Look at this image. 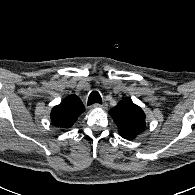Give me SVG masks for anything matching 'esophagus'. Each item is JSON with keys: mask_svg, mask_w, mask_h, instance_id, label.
<instances>
[{"mask_svg": "<svg viewBox=\"0 0 195 195\" xmlns=\"http://www.w3.org/2000/svg\"><path fill=\"white\" fill-rule=\"evenodd\" d=\"M94 108H102V109H106L107 108V104L106 103H103V104H94L93 105Z\"/></svg>", "mask_w": 195, "mask_h": 195, "instance_id": "obj_1", "label": "esophagus"}]
</instances>
